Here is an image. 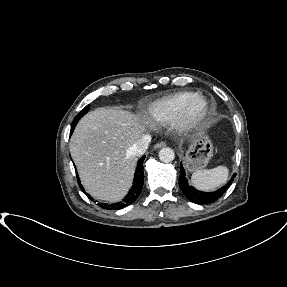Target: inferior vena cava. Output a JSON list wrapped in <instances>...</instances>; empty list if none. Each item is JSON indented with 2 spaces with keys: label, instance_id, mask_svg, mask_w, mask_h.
<instances>
[{
  "label": "inferior vena cava",
  "instance_id": "1",
  "mask_svg": "<svg viewBox=\"0 0 287 287\" xmlns=\"http://www.w3.org/2000/svg\"><path fill=\"white\" fill-rule=\"evenodd\" d=\"M150 142L151 136L144 135L135 144H133V146L130 147V152L133 155L140 156L146 152Z\"/></svg>",
  "mask_w": 287,
  "mask_h": 287
}]
</instances>
